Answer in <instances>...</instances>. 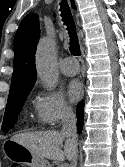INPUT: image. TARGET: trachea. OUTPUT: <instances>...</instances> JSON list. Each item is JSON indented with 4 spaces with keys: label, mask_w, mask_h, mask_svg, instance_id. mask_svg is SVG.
Wrapping results in <instances>:
<instances>
[{
    "label": "trachea",
    "mask_w": 125,
    "mask_h": 167,
    "mask_svg": "<svg viewBox=\"0 0 125 167\" xmlns=\"http://www.w3.org/2000/svg\"><path fill=\"white\" fill-rule=\"evenodd\" d=\"M61 16H62V21L64 24L67 26L68 34L70 37V42H69V49L72 55L74 56H80V47H79V42H78V36L76 33V26L74 19L72 17L70 8L67 4V0H63L61 3Z\"/></svg>",
    "instance_id": "obj_1"
}]
</instances>
